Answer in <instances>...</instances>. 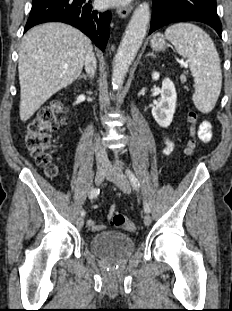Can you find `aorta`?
Returning a JSON list of instances; mask_svg holds the SVG:
<instances>
[{
  "label": "aorta",
  "instance_id": "aorta-1",
  "mask_svg": "<svg viewBox=\"0 0 232 311\" xmlns=\"http://www.w3.org/2000/svg\"><path fill=\"white\" fill-rule=\"evenodd\" d=\"M149 21V5L143 2L135 9L115 55L112 70L113 89H119L123 85L129 66L146 35Z\"/></svg>",
  "mask_w": 232,
  "mask_h": 311
}]
</instances>
